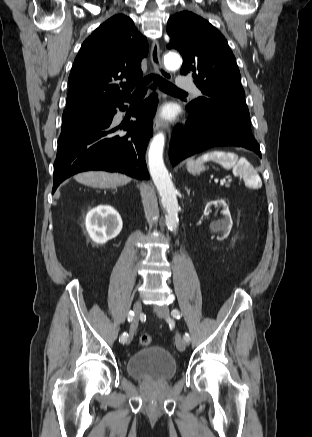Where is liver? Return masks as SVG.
Instances as JSON below:
<instances>
[{"instance_id": "6515ba94", "label": "liver", "mask_w": 312, "mask_h": 437, "mask_svg": "<svg viewBox=\"0 0 312 437\" xmlns=\"http://www.w3.org/2000/svg\"><path fill=\"white\" fill-rule=\"evenodd\" d=\"M74 178L77 182L93 188H113L131 181V178L125 174L104 171L84 172Z\"/></svg>"}]
</instances>
